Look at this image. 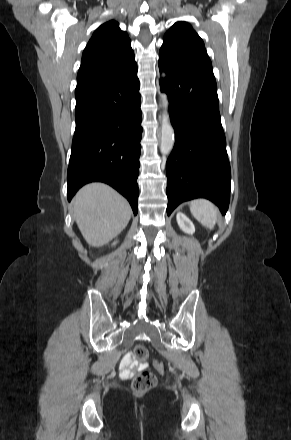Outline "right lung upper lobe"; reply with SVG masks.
<instances>
[{"instance_id": "right-lung-upper-lobe-1", "label": "right lung upper lobe", "mask_w": 291, "mask_h": 440, "mask_svg": "<svg viewBox=\"0 0 291 440\" xmlns=\"http://www.w3.org/2000/svg\"><path fill=\"white\" fill-rule=\"evenodd\" d=\"M135 69L131 41L118 22L111 20L96 29L84 49L77 86L112 80Z\"/></svg>"}]
</instances>
